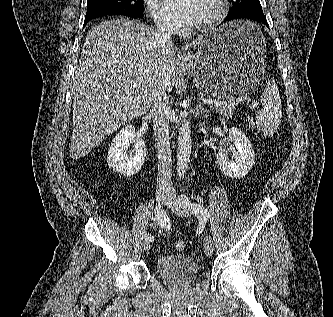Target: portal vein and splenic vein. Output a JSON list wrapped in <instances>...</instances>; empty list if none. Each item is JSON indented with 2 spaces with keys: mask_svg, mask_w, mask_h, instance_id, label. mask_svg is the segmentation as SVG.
Listing matches in <instances>:
<instances>
[{
  "mask_svg": "<svg viewBox=\"0 0 333 317\" xmlns=\"http://www.w3.org/2000/svg\"><path fill=\"white\" fill-rule=\"evenodd\" d=\"M240 101H241V99H238L236 101L230 102L229 105H239ZM203 102H204V104H210V105H212V104L220 105V104L223 103V102H220V101H217V100H212V99H204ZM249 107L251 109H256V108H258V105L257 104H251V105H249Z\"/></svg>",
  "mask_w": 333,
  "mask_h": 317,
  "instance_id": "1",
  "label": "portal vein and splenic vein"
}]
</instances>
